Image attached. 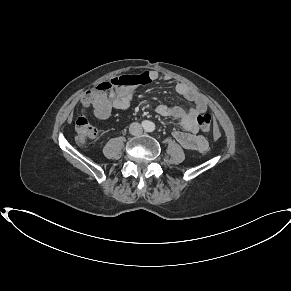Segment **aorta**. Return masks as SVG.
<instances>
[{
  "label": "aorta",
  "mask_w": 291,
  "mask_h": 291,
  "mask_svg": "<svg viewBox=\"0 0 291 291\" xmlns=\"http://www.w3.org/2000/svg\"><path fill=\"white\" fill-rule=\"evenodd\" d=\"M154 129H155V124L152 123V122H150V123H149V126H148V131L151 132V131H153Z\"/></svg>",
  "instance_id": "obj_1"
}]
</instances>
